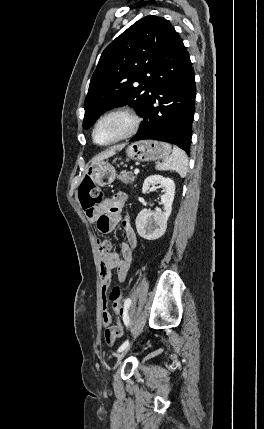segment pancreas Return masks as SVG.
<instances>
[{
    "label": "pancreas",
    "instance_id": "1",
    "mask_svg": "<svg viewBox=\"0 0 264 429\" xmlns=\"http://www.w3.org/2000/svg\"><path fill=\"white\" fill-rule=\"evenodd\" d=\"M118 179L124 184L132 183L135 180V176L132 172L122 171L118 176Z\"/></svg>",
    "mask_w": 264,
    "mask_h": 429
}]
</instances>
